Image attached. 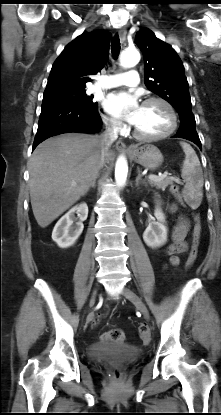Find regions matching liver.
Masks as SVG:
<instances>
[{"instance_id":"liver-1","label":"liver","mask_w":221,"mask_h":415,"mask_svg":"<svg viewBox=\"0 0 221 415\" xmlns=\"http://www.w3.org/2000/svg\"><path fill=\"white\" fill-rule=\"evenodd\" d=\"M115 153L108 151L104 160ZM100 137L67 133L42 142L29 161V188L34 217L47 227L84 196L100 169Z\"/></svg>"}]
</instances>
